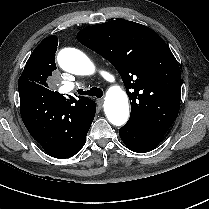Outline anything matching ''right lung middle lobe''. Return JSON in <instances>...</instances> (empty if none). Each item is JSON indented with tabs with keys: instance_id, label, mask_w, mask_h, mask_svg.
Here are the masks:
<instances>
[{
	"instance_id": "dd1d6c3e",
	"label": "right lung middle lobe",
	"mask_w": 209,
	"mask_h": 209,
	"mask_svg": "<svg viewBox=\"0 0 209 209\" xmlns=\"http://www.w3.org/2000/svg\"><path fill=\"white\" fill-rule=\"evenodd\" d=\"M55 52L56 50L50 48L33 51L18 81L20 93L33 90L44 97L53 95L54 92L49 90L48 82L52 72L56 69Z\"/></svg>"
}]
</instances>
